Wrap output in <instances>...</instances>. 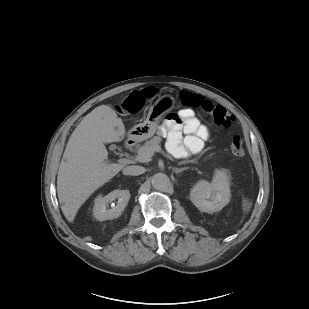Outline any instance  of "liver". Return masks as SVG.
I'll return each mask as SVG.
<instances>
[{
  "instance_id": "6515ba94",
  "label": "liver",
  "mask_w": 309,
  "mask_h": 309,
  "mask_svg": "<svg viewBox=\"0 0 309 309\" xmlns=\"http://www.w3.org/2000/svg\"><path fill=\"white\" fill-rule=\"evenodd\" d=\"M125 134L122 119L107 105L93 109L71 134L57 176L58 199L69 222L95 190L123 169L106 163L105 144L120 142Z\"/></svg>"
}]
</instances>
